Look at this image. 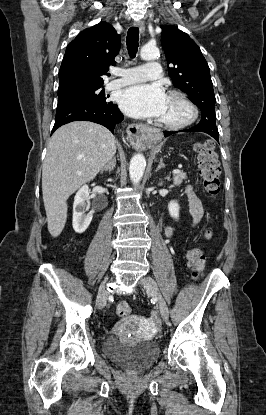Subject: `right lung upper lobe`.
<instances>
[{
    "mask_svg": "<svg viewBox=\"0 0 266 415\" xmlns=\"http://www.w3.org/2000/svg\"><path fill=\"white\" fill-rule=\"evenodd\" d=\"M120 36L112 25L100 22L82 32L67 46L59 71L58 93L103 86L102 75L120 50Z\"/></svg>",
    "mask_w": 266,
    "mask_h": 415,
    "instance_id": "cb5924a9",
    "label": "right lung upper lobe"
}]
</instances>
